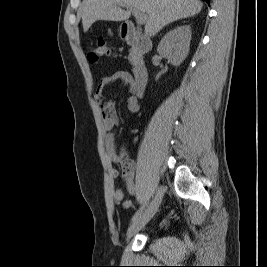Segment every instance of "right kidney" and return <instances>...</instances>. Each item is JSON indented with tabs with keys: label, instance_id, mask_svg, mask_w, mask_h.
Wrapping results in <instances>:
<instances>
[{
	"label": "right kidney",
	"instance_id": "1",
	"mask_svg": "<svg viewBox=\"0 0 267 267\" xmlns=\"http://www.w3.org/2000/svg\"><path fill=\"white\" fill-rule=\"evenodd\" d=\"M189 25L177 26L167 32L158 44V53L173 66H179L187 57L191 40Z\"/></svg>",
	"mask_w": 267,
	"mask_h": 267
}]
</instances>
